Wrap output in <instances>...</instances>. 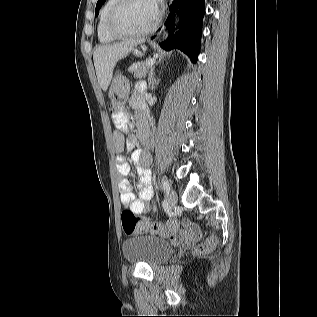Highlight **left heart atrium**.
<instances>
[{"instance_id":"obj_1","label":"left heart atrium","mask_w":317,"mask_h":317,"mask_svg":"<svg viewBox=\"0 0 317 317\" xmlns=\"http://www.w3.org/2000/svg\"><path fill=\"white\" fill-rule=\"evenodd\" d=\"M153 1H154L155 5H156L157 4V2H156L157 0H153Z\"/></svg>"}]
</instances>
